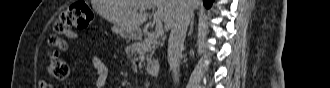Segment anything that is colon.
<instances>
[{"mask_svg": "<svg viewBox=\"0 0 330 88\" xmlns=\"http://www.w3.org/2000/svg\"><path fill=\"white\" fill-rule=\"evenodd\" d=\"M93 20V12L85 1H76L60 15L54 26V34L49 39L51 46L48 52L50 63L48 75L57 81H67L70 76L69 64L61 58L68 44L63 36L73 28L86 29Z\"/></svg>", "mask_w": 330, "mask_h": 88, "instance_id": "5ec220e1", "label": "colon"}]
</instances>
